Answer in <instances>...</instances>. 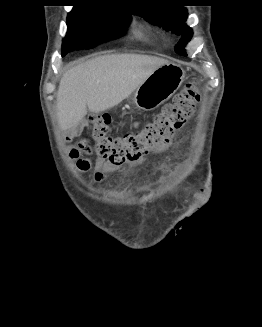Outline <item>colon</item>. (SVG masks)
Segmentation results:
<instances>
[{
	"label": "colon",
	"mask_w": 262,
	"mask_h": 327,
	"mask_svg": "<svg viewBox=\"0 0 262 327\" xmlns=\"http://www.w3.org/2000/svg\"><path fill=\"white\" fill-rule=\"evenodd\" d=\"M201 99L195 83H188L173 101L150 119L141 130L113 136L110 133L111 118L107 114H92L88 117V127L94 145L81 142L79 148L94 153L113 165L120 166L133 162L147 154L154 147L170 140L194 114Z\"/></svg>",
	"instance_id": "5ec220e1"
}]
</instances>
